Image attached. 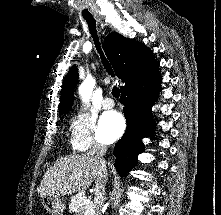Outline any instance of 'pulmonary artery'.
<instances>
[{"instance_id":"1","label":"pulmonary artery","mask_w":221,"mask_h":215,"mask_svg":"<svg viewBox=\"0 0 221 215\" xmlns=\"http://www.w3.org/2000/svg\"><path fill=\"white\" fill-rule=\"evenodd\" d=\"M102 105L105 109H111L114 107V101L111 98H105Z\"/></svg>"}]
</instances>
